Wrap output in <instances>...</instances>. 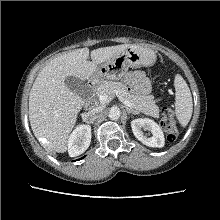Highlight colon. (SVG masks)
<instances>
[{
  "label": "colon",
  "mask_w": 220,
  "mask_h": 220,
  "mask_svg": "<svg viewBox=\"0 0 220 220\" xmlns=\"http://www.w3.org/2000/svg\"><path fill=\"white\" fill-rule=\"evenodd\" d=\"M161 125L166 132V137L169 142H174L177 138L178 131L176 128L174 115L171 109L166 108L162 114Z\"/></svg>",
  "instance_id": "colon-1"
}]
</instances>
